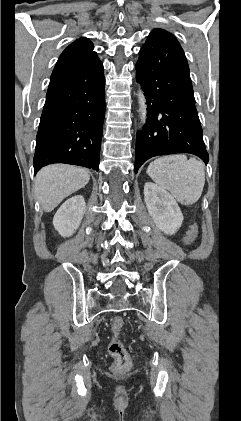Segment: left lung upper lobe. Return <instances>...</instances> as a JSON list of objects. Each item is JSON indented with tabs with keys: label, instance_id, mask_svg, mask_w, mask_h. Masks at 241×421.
I'll return each instance as SVG.
<instances>
[{
	"label": "left lung upper lobe",
	"instance_id": "left-lung-upper-lobe-1",
	"mask_svg": "<svg viewBox=\"0 0 241 421\" xmlns=\"http://www.w3.org/2000/svg\"><path fill=\"white\" fill-rule=\"evenodd\" d=\"M154 30H162V29H154ZM154 30H153V31H154Z\"/></svg>",
	"mask_w": 241,
	"mask_h": 421
}]
</instances>
